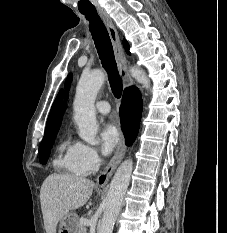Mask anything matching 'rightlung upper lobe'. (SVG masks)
Listing matches in <instances>:
<instances>
[{
  "label": "right lung upper lobe",
  "mask_w": 227,
  "mask_h": 233,
  "mask_svg": "<svg viewBox=\"0 0 227 233\" xmlns=\"http://www.w3.org/2000/svg\"><path fill=\"white\" fill-rule=\"evenodd\" d=\"M63 111L61 90L58 93L48 116L43 140L56 136L62 121Z\"/></svg>",
  "instance_id": "1"
}]
</instances>
